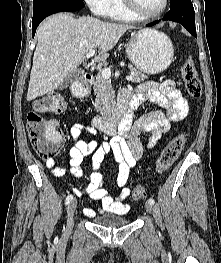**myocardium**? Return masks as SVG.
<instances>
[{"label": "myocardium", "instance_id": "obj_1", "mask_svg": "<svg viewBox=\"0 0 221 263\" xmlns=\"http://www.w3.org/2000/svg\"><path fill=\"white\" fill-rule=\"evenodd\" d=\"M123 2L125 4V7L135 17H137L138 19H143V20L154 19V18L159 17L160 15H162L166 11V9L169 5V0H164L162 7L158 11H156L154 13L146 14L140 10L139 6L137 5L136 0H123Z\"/></svg>", "mask_w": 221, "mask_h": 263}]
</instances>
